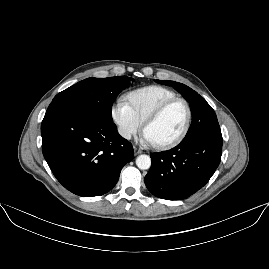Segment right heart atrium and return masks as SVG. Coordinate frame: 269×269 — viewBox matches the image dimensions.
Masks as SVG:
<instances>
[{"label":"right heart atrium","mask_w":269,"mask_h":269,"mask_svg":"<svg viewBox=\"0 0 269 269\" xmlns=\"http://www.w3.org/2000/svg\"><path fill=\"white\" fill-rule=\"evenodd\" d=\"M111 114L114 122L118 126L119 133L124 138H131L142 132L143 124L134 115L129 103L118 97L114 102Z\"/></svg>","instance_id":"d8ad5b80"}]
</instances>
